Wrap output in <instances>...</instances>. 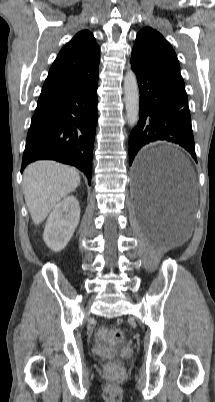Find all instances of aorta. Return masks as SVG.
I'll return each instance as SVG.
<instances>
[{"instance_id":"obj_1","label":"aorta","mask_w":215,"mask_h":402,"mask_svg":"<svg viewBox=\"0 0 215 402\" xmlns=\"http://www.w3.org/2000/svg\"><path fill=\"white\" fill-rule=\"evenodd\" d=\"M124 99L128 124L134 127L139 121V88L136 75L131 70L124 78Z\"/></svg>"}]
</instances>
